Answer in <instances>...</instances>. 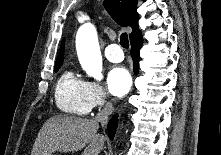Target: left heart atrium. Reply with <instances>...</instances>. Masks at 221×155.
Instances as JSON below:
<instances>
[{
  "label": "left heart atrium",
  "instance_id": "39dd6f15",
  "mask_svg": "<svg viewBox=\"0 0 221 155\" xmlns=\"http://www.w3.org/2000/svg\"><path fill=\"white\" fill-rule=\"evenodd\" d=\"M109 91L118 97L125 95L131 87V76L123 67L112 68L107 77Z\"/></svg>",
  "mask_w": 221,
  "mask_h": 155
}]
</instances>
